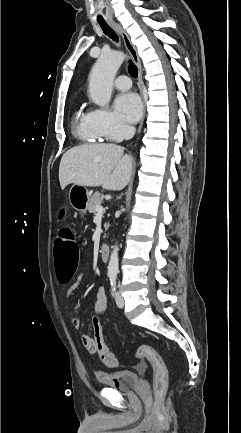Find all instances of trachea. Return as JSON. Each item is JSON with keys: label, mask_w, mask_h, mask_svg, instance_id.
<instances>
[{"label": "trachea", "mask_w": 241, "mask_h": 433, "mask_svg": "<svg viewBox=\"0 0 241 433\" xmlns=\"http://www.w3.org/2000/svg\"><path fill=\"white\" fill-rule=\"evenodd\" d=\"M94 21L101 26L103 32L109 36L114 41H118L117 34L107 25V23L104 20V15L101 13V11H96V15L94 18ZM129 73L133 78H137L138 76V68L130 61L129 64Z\"/></svg>", "instance_id": "1"}]
</instances>
